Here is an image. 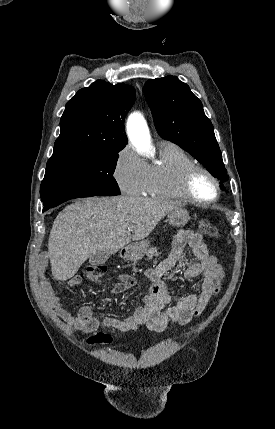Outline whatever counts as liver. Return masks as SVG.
<instances>
[{"instance_id": "liver-1", "label": "liver", "mask_w": 275, "mask_h": 429, "mask_svg": "<svg viewBox=\"0 0 275 429\" xmlns=\"http://www.w3.org/2000/svg\"><path fill=\"white\" fill-rule=\"evenodd\" d=\"M180 207L171 200L129 196L92 197L66 206L54 220L48 240L54 279L72 278L100 251L114 254L131 239H145L166 214Z\"/></svg>"}]
</instances>
